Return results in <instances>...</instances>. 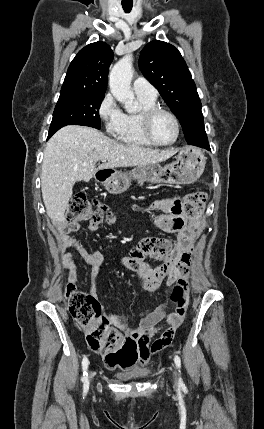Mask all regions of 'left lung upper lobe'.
<instances>
[{"label": "left lung upper lobe", "mask_w": 264, "mask_h": 429, "mask_svg": "<svg viewBox=\"0 0 264 429\" xmlns=\"http://www.w3.org/2000/svg\"><path fill=\"white\" fill-rule=\"evenodd\" d=\"M139 67L179 119L187 143L208 144L201 101L178 49L163 41H152L141 51Z\"/></svg>", "instance_id": "5c2ea615"}]
</instances>
